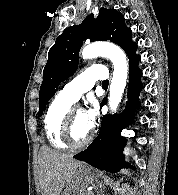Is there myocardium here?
I'll list each match as a JSON object with an SVG mask.
<instances>
[{
  "label": "myocardium",
  "mask_w": 178,
  "mask_h": 195,
  "mask_svg": "<svg viewBox=\"0 0 178 195\" xmlns=\"http://www.w3.org/2000/svg\"><path fill=\"white\" fill-rule=\"evenodd\" d=\"M78 109L71 108L63 121L61 128V139L71 149H81L86 147L93 139L94 132H91L86 140L81 143H76L72 138V125L75 111Z\"/></svg>",
  "instance_id": "obj_1"
}]
</instances>
